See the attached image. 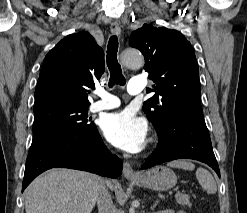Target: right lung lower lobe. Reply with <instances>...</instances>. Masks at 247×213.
I'll use <instances>...</instances> for the list:
<instances>
[{
  "mask_svg": "<svg viewBox=\"0 0 247 213\" xmlns=\"http://www.w3.org/2000/svg\"><path fill=\"white\" fill-rule=\"evenodd\" d=\"M57 167L89 171L111 178H117L122 173V161L110 154L97 130L49 129L33 136L22 192L40 173Z\"/></svg>",
  "mask_w": 247,
  "mask_h": 213,
  "instance_id": "obj_1",
  "label": "right lung lower lobe"
}]
</instances>
